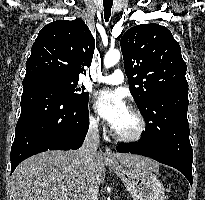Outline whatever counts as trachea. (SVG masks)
<instances>
[{
  "label": "trachea",
  "mask_w": 205,
  "mask_h": 200,
  "mask_svg": "<svg viewBox=\"0 0 205 200\" xmlns=\"http://www.w3.org/2000/svg\"><path fill=\"white\" fill-rule=\"evenodd\" d=\"M112 5H113V1L112 0H103L104 18H105L106 22L109 21V18L111 16Z\"/></svg>",
  "instance_id": "trachea-1"
}]
</instances>
